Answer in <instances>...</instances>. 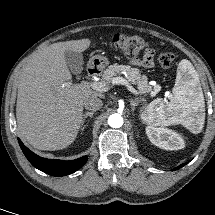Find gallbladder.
Segmentation results:
<instances>
[{"mask_svg":"<svg viewBox=\"0 0 215 215\" xmlns=\"http://www.w3.org/2000/svg\"><path fill=\"white\" fill-rule=\"evenodd\" d=\"M66 64L74 74H80L83 70V55L74 51H66L64 54Z\"/></svg>","mask_w":215,"mask_h":215,"instance_id":"bac80fb5","label":"gallbladder"}]
</instances>
